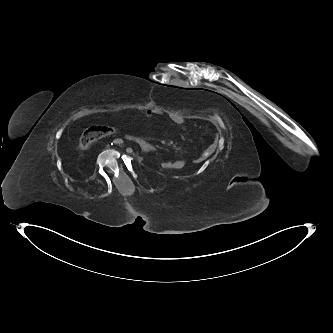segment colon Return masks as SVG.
<instances>
[{"label":"colon","mask_w":333,"mask_h":333,"mask_svg":"<svg viewBox=\"0 0 333 333\" xmlns=\"http://www.w3.org/2000/svg\"><path fill=\"white\" fill-rule=\"evenodd\" d=\"M116 131L115 127L112 126H93L88 128L80 137V147L82 149H88L92 144H94L99 139L111 135ZM164 169H171L174 163L171 160H164L161 163Z\"/></svg>","instance_id":"1"}]
</instances>
